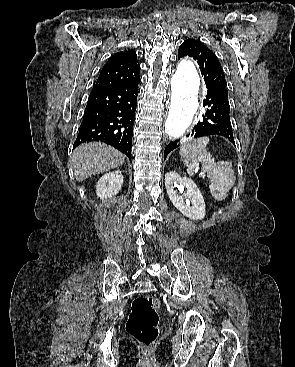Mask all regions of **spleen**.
Instances as JSON below:
<instances>
[{
  "label": "spleen",
  "instance_id": "3e777b00",
  "mask_svg": "<svg viewBox=\"0 0 295 367\" xmlns=\"http://www.w3.org/2000/svg\"><path fill=\"white\" fill-rule=\"evenodd\" d=\"M209 138L203 137L185 142L180 148V157L188 172L192 173L201 163L202 174L210 178V193L216 201L224 200L235 183L236 176L229 161L215 162L207 151Z\"/></svg>",
  "mask_w": 295,
  "mask_h": 367
}]
</instances>
